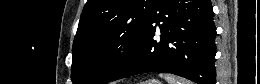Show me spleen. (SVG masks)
<instances>
[{"mask_svg":"<svg viewBox=\"0 0 260 84\" xmlns=\"http://www.w3.org/2000/svg\"><path fill=\"white\" fill-rule=\"evenodd\" d=\"M160 77L166 79L169 84H191L190 81L183 78H178L172 74L161 73Z\"/></svg>","mask_w":260,"mask_h":84,"instance_id":"3e777b00","label":"spleen"}]
</instances>
